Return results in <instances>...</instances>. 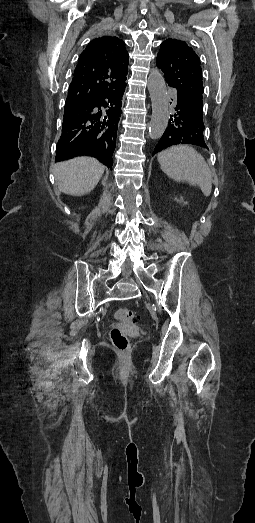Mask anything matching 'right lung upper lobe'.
<instances>
[{"instance_id": "1", "label": "right lung upper lobe", "mask_w": 255, "mask_h": 523, "mask_svg": "<svg viewBox=\"0 0 255 523\" xmlns=\"http://www.w3.org/2000/svg\"><path fill=\"white\" fill-rule=\"evenodd\" d=\"M128 57L124 42L117 37L96 38L81 53L68 90L56 161L90 155L112 168ZM91 101L100 103V141L86 146L79 104Z\"/></svg>"}]
</instances>
